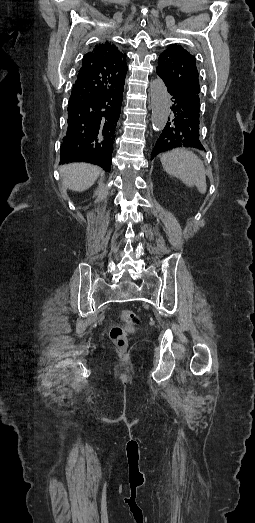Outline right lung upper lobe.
Instances as JSON below:
<instances>
[{"mask_svg": "<svg viewBox=\"0 0 255 523\" xmlns=\"http://www.w3.org/2000/svg\"><path fill=\"white\" fill-rule=\"evenodd\" d=\"M126 54L109 42L97 44L83 60L68 103V128L60 149V163L90 162L110 171L113 144L127 72ZM100 100V142L94 153H83V114L79 103Z\"/></svg>", "mask_w": 255, "mask_h": 523, "instance_id": "cb5924a9", "label": "right lung upper lobe"}]
</instances>
